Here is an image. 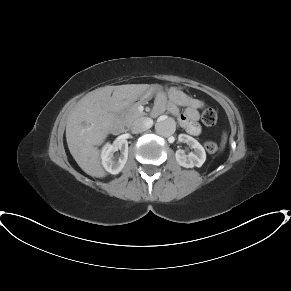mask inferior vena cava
I'll use <instances>...</instances> for the list:
<instances>
[{
	"label": "inferior vena cava",
	"instance_id": "602c4592",
	"mask_svg": "<svg viewBox=\"0 0 291 291\" xmlns=\"http://www.w3.org/2000/svg\"><path fill=\"white\" fill-rule=\"evenodd\" d=\"M153 124V120L147 117H141L133 121L131 124V131L133 133H140L149 129Z\"/></svg>",
	"mask_w": 291,
	"mask_h": 291
}]
</instances>
